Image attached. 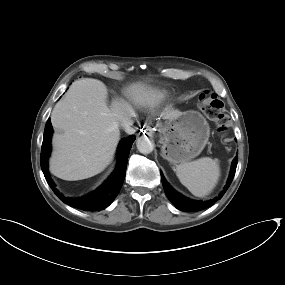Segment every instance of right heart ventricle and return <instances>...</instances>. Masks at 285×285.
Segmentation results:
<instances>
[{"mask_svg":"<svg viewBox=\"0 0 285 285\" xmlns=\"http://www.w3.org/2000/svg\"><path fill=\"white\" fill-rule=\"evenodd\" d=\"M165 99V94L159 91H153L148 93L142 100L145 106H153Z\"/></svg>","mask_w":285,"mask_h":285,"instance_id":"e07e8e85","label":"right heart ventricle"}]
</instances>
